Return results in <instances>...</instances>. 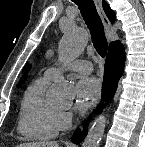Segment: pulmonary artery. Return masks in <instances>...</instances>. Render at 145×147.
Listing matches in <instances>:
<instances>
[{
  "label": "pulmonary artery",
  "mask_w": 145,
  "mask_h": 147,
  "mask_svg": "<svg viewBox=\"0 0 145 147\" xmlns=\"http://www.w3.org/2000/svg\"><path fill=\"white\" fill-rule=\"evenodd\" d=\"M62 69L66 71H76L83 74H89L92 72L93 66L90 61L78 59L66 64ZM60 71L61 70L58 68L51 67L45 71L44 75L51 79Z\"/></svg>",
  "instance_id": "pulmonary-artery-1"
}]
</instances>
